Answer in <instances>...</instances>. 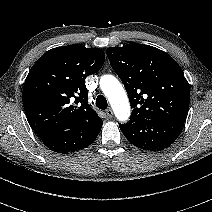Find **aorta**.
Listing matches in <instances>:
<instances>
[{
	"label": "aorta",
	"mask_w": 212,
	"mask_h": 212,
	"mask_svg": "<svg viewBox=\"0 0 212 212\" xmlns=\"http://www.w3.org/2000/svg\"><path fill=\"white\" fill-rule=\"evenodd\" d=\"M100 88L107 97L116 118L119 121H126L130 116V103L127 94L113 75H103L100 78Z\"/></svg>",
	"instance_id": "obj_1"
}]
</instances>
